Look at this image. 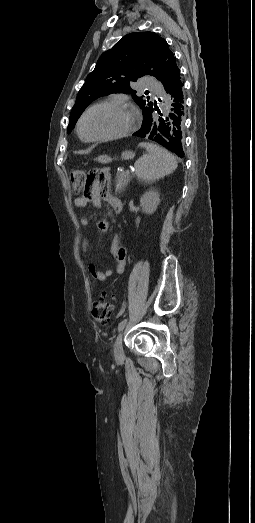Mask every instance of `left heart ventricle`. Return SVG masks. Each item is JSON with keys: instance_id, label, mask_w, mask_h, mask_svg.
Returning <instances> with one entry per match:
<instances>
[{"instance_id": "left-heart-ventricle-1", "label": "left heart ventricle", "mask_w": 255, "mask_h": 523, "mask_svg": "<svg viewBox=\"0 0 255 523\" xmlns=\"http://www.w3.org/2000/svg\"><path fill=\"white\" fill-rule=\"evenodd\" d=\"M133 120L134 112L129 107L99 106L85 116L82 134L88 139L117 135L126 131Z\"/></svg>"}]
</instances>
